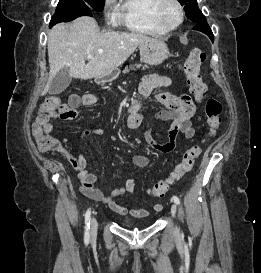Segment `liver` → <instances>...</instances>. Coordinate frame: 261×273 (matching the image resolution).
<instances>
[{
    "instance_id": "6515ba94",
    "label": "liver",
    "mask_w": 261,
    "mask_h": 273,
    "mask_svg": "<svg viewBox=\"0 0 261 273\" xmlns=\"http://www.w3.org/2000/svg\"><path fill=\"white\" fill-rule=\"evenodd\" d=\"M152 38L139 33H100L94 18L82 16L72 23H59L48 33L49 77L42 92L45 95L52 79L64 67L71 77L88 80L103 78L121 66L136 48ZM92 59L86 64L87 56Z\"/></svg>"
}]
</instances>
